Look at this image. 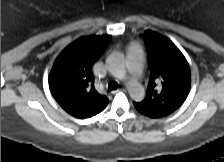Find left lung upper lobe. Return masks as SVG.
Wrapping results in <instances>:
<instances>
[{
  "label": "left lung upper lobe",
  "instance_id": "obj_1",
  "mask_svg": "<svg viewBox=\"0 0 224 162\" xmlns=\"http://www.w3.org/2000/svg\"><path fill=\"white\" fill-rule=\"evenodd\" d=\"M144 41L151 77L146 98L134 106L149 117H163L177 110L185 101L190 91L191 72L186 58L170 40L147 30Z\"/></svg>",
  "mask_w": 224,
  "mask_h": 162
}]
</instances>
